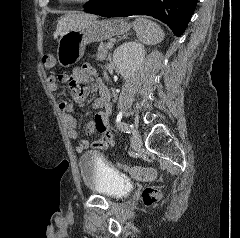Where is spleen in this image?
I'll return each instance as SVG.
<instances>
[{"mask_svg": "<svg viewBox=\"0 0 240 238\" xmlns=\"http://www.w3.org/2000/svg\"><path fill=\"white\" fill-rule=\"evenodd\" d=\"M133 29L136 32L138 40L146 45L160 43L165 36L158 24L143 17L136 18L133 22Z\"/></svg>", "mask_w": 240, "mask_h": 238, "instance_id": "obj_1", "label": "spleen"}]
</instances>
